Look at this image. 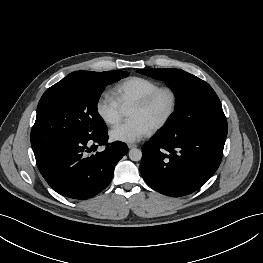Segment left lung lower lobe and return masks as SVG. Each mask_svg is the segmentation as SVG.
Masks as SVG:
<instances>
[{
	"label": "left lung lower lobe",
	"mask_w": 263,
	"mask_h": 263,
	"mask_svg": "<svg viewBox=\"0 0 263 263\" xmlns=\"http://www.w3.org/2000/svg\"><path fill=\"white\" fill-rule=\"evenodd\" d=\"M227 128L188 134L161 132L142 148L140 171L158 192L180 197L193 193L218 169Z\"/></svg>",
	"instance_id": "1"
}]
</instances>
